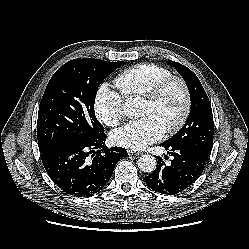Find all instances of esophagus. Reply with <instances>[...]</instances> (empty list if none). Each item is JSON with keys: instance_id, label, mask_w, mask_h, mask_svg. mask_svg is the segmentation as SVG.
I'll return each instance as SVG.
<instances>
[{"instance_id": "34e87169", "label": "esophagus", "mask_w": 249, "mask_h": 249, "mask_svg": "<svg viewBox=\"0 0 249 249\" xmlns=\"http://www.w3.org/2000/svg\"><path fill=\"white\" fill-rule=\"evenodd\" d=\"M128 154H129V155H135V156H138V155H140L141 153L136 152V151H132V150H128Z\"/></svg>"}]
</instances>
